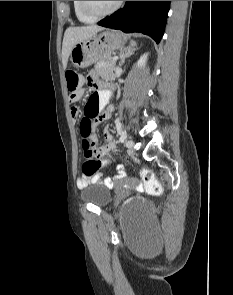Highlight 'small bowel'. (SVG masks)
Here are the masks:
<instances>
[{"label": "small bowel", "mask_w": 233, "mask_h": 295, "mask_svg": "<svg viewBox=\"0 0 233 295\" xmlns=\"http://www.w3.org/2000/svg\"><path fill=\"white\" fill-rule=\"evenodd\" d=\"M87 80L88 82L92 83L97 89L99 88V84L95 82L94 74H90ZM83 95L84 93L78 95L75 98L70 97V101L72 103H75L79 101L83 97ZM108 96L109 94L104 91L94 92L89 97L88 102L85 106V109H84L85 118H89L92 121V123H97V124L107 121L110 118L113 111L112 106L106 107ZM81 114H82V110L79 107L77 106L71 107V115L74 119L79 118ZM103 138H104V144L100 147L101 153L102 155H106L107 158H110L111 161L114 162L113 156L109 154V152L114 147V141L107 129H105L103 133ZM124 176H125V173L121 169H118L115 179H119ZM91 183H104L106 185H111L112 179L109 177H105L102 180L100 173H95L91 176L83 175L82 177L77 179V187L80 189L85 188Z\"/></svg>", "instance_id": "1"}]
</instances>
